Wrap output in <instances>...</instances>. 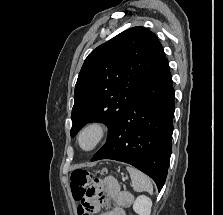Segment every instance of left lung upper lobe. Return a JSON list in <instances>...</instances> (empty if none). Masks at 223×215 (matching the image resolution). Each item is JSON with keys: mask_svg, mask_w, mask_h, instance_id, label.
I'll return each instance as SVG.
<instances>
[{"mask_svg": "<svg viewBox=\"0 0 223 215\" xmlns=\"http://www.w3.org/2000/svg\"><path fill=\"white\" fill-rule=\"evenodd\" d=\"M165 60L156 35L141 26L94 49L84 61L75 85L71 137L93 121L104 122L109 137Z\"/></svg>", "mask_w": 223, "mask_h": 215, "instance_id": "left-lung-upper-lobe-1", "label": "left lung upper lobe"}]
</instances>
